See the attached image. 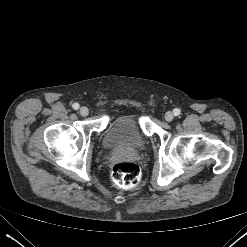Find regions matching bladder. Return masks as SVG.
Masks as SVG:
<instances>
[{
  "instance_id": "31cf9c89",
  "label": "bladder",
  "mask_w": 247,
  "mask_h": 247,
  "mask_svg": "<svg viewBox=\"0 0 247 247\" xmlns=\"http://www.w3.org/2000/svg\"><path fill=\"white\" fill-rule=\"evenodd\" d=\"M103 144L112 150L136 151L147 145V139L135 117L124 115L114 119L106 129Z\"/></svg>"
}]
</instances>
